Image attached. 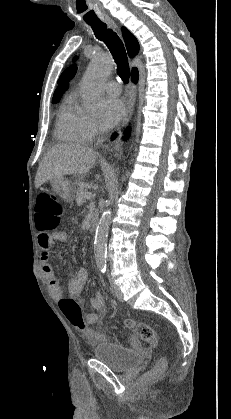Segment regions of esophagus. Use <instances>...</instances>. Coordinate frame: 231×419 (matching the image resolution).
Returning a JSON list of instances; mask_svg holds the SVG:
<instances>
[{
    "mask_svg": "<svg viewBox=\"0 0 231 419\" xmlns=\"http://www.w3.org/2000/svg\"><path fill=\"white\" fill-rule=\"evenodd\" d=\"M106 22L108 23V25L110 27H112L113 29L118 30V26L116 24V22L110 18V17H106L105 18ZM136 94H137V86L136 84H134L133 82L130 83V87H129V94H128V102H127V108H126V113L125 116L121 122L120 127L118 128V133H119V138L118 140L114 143V152L117 155L118 153L121 152L122 150V144H121V134H122V129L128 124L133 111H134V104H135V98H136Z\"/></svg>",
    "mask_w": 231,
    "mask_h": 419,
    "instance_id": "obj_1",
    "label": "esophagus"
}]
</instances>
